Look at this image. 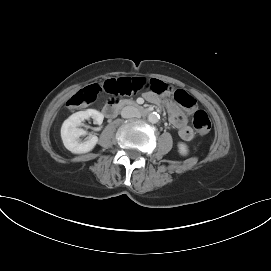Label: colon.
I'll use <instances>...</instances> for the list:
<instances>
[{"label":"colon","instance_id":"1","mask_svg":"<svg viewBox=\"0 0 271 271\" xmlns=\"http://www.w3.org/2000/svg\"><path fill=\"white\" fill-rule=\"evenodd\" d=\"M148 87L149 82L143 78L111 79L105 82L103 87H100L97 84H92L78 91L68 100L67 106L71 109L87 106L96 99L101 90L114 95H130L141 89H148ZM174 100L181 106L188 109L195 106V100L183 90H177L174 93ZM192 121L199 134L206 135L209 133L211 122L205 111L197 110L193 115Z\"/></svg>","mask_w":271,"mask_h":271}]
</instances>
